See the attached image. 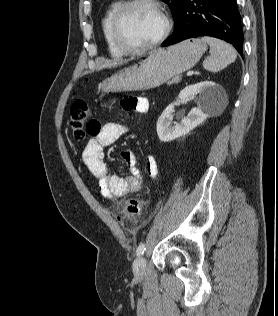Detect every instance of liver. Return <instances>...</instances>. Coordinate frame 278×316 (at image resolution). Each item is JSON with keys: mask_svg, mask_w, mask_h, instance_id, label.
<instances>
[{"mask_svg": "<svg viewBox=\"0 0 278 316\" xmlns=\"http://www.w3.org/2000/svg\"><path fill=\"white\" fill-rule=\"evenodd\" d=\"M112 65H114V63H108V64L103 65L102 67H111Z\"/></svg>", "mask_w": 278, "mask_h": 316, "instance_id": "obj_1", "label": "liver"}]
</instances>
